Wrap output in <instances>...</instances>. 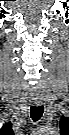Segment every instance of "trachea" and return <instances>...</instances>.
<instances>
[{
	"label": "trachea",
	"mask_w": 69,
	"mask_h": 135,
	"mask_svg": "<svg viewBox=\"0 0 69 135\" xmlns=\"http://www.w3.org/2000/svg\"><path fill=\"white\" fill-rule=\"evenodd\" d=\"M43 112H44L43 106H31L30 115L32 120L34 122L38 121L42 117Z\"/></svg>",
	"instance_id": "obj_1"
}]
</instances>
